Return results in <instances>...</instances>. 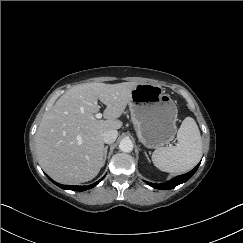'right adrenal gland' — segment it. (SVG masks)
Instances as JSON below:
<instances>
[{"mask_svg":"<svg viewBox=\"0 0 243 243\" xmlns=\"http://www.w3.org/2000/svg\"><path fill=\"white\" fill-rule=\"evenodd\" d=\"M107 150H108V146H105L104 147V160H103L104 164H105V161H106V158H107Z\"/></svg>","mask_w":243,"mask_h":243,"instance_id":"1","label":"right adrenal gland"}]
</instances>
